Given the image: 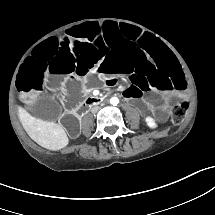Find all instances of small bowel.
<instances>
[{
    "label": "small bowel",
    "mask_w": 215,
    "mask_h": 215,
    "mask_svg": "<svg viewBox=\"0 0 215 215\" xmlns=\"http://www.w3.org/2000/svg\"><path fill=\"white\" fill-rule=\"evenodd\" d=\"M123 96H125L126 98H129V99H133V98H135V92L131 91V90H129L127 92L125 91L123 93Z\"/></svg>",
    "instance_id": "c3829d8e"
}]
</instances>
